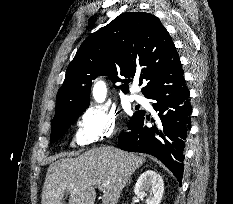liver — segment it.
Here are the masks:
<instances>
[{
  "label": "liver",
  "instance_id": "liver-1",
  "mask_svg": "<svg viewBox=\"0 0 233 204\" xmlns=\"http://www.w3.org/2000/svg\"><path fill=\"white\" fill-rule=\"evenodd\" d=\"M145 158L112 146L93 148L76 158H61L50 164L41 204H94L95 187L103 186V204H117L131 175Z\"/></svg>",
  "mask_w": 233,
  "mask_h": 204
}]
</instances>
